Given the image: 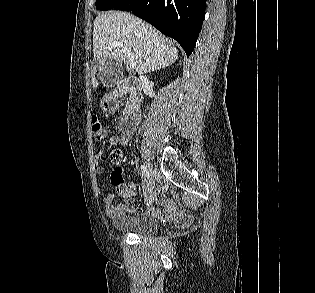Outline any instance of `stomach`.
Returning <instances> with one entry per match:
<instances>
[{
    "label": "stomach",
    "mask_w": 315,
    "mask_h": 293,
    "mask_svg": "<svg viewBox=\"0 0 315 293\" xmlns=\"http://www.w3.org/2000/svg\"><path fill=\"white\" fill-rule=\"evenodd\" d=\"M120 103L121 96H118L117 92H104L103 96H100L99 104L105 112L118 110Z\"/></svg>",
    "instance_id": "0dacf381"
}]
</instances>
